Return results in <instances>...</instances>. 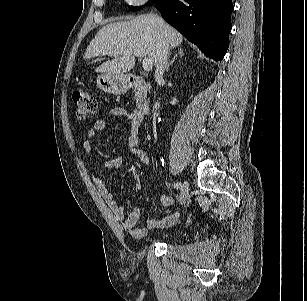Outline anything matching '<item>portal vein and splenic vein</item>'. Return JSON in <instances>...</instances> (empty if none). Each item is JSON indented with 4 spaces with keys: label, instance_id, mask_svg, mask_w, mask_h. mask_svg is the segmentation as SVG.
<instances>
[{
    "label": "portal vein and splenic vein",
    "instance_id": "18ae733b",
    "mask_svg": "<svg viewBox=\"0 0 307 301\" xmlns=\"http://www.w3.org/2000/svg\"><path fill=\"white\" fill-rule=\"evenodd\" d=\"M133 54H134L135 56H137V57H140V58H143V57H144L142 65H143V69H144L145 71L149 72V71L152 70V67H153V61H152V59L146 57V55L143 54L142 51H135ZM114 55L116 56L117 53H115Z\"/></svg>",
    "mask_w": 307,
    "mask_h": 301
}]
</instances>
